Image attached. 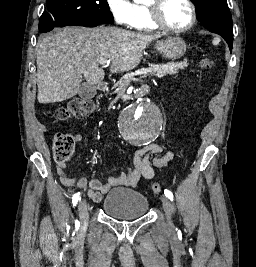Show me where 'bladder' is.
I'll return each instance as SVG.
<instances>
[{
  "mask_svg": "<svg viewBox=\"0 0 256 267\" xmlns=\"http://www.w3.org/2000/svg\"><path fill=\"white\" fill-rule=\"evenodd\" d=\"M149 200L139 191L114 188L104 197L102 210L118 219H132L143 216Z\"/></svg>",
  "mask_w": 256,
  "mask_h": 267,
  "instance_id": "bladder-1",
  "label": "bladder"
}]
</instances>
